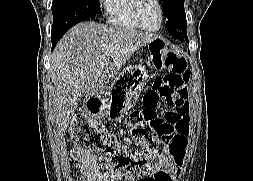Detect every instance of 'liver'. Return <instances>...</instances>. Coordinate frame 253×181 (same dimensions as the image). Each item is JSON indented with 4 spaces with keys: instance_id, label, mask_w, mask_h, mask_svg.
I'll return each instance as SVG.
<instances>
[{
    "instance_id": "6515ba94",
    "label": "liver",
    "mask_w": 253,
    "mask_h": 181,
    "mask_svg": "<svg viewBox=\"0 0 253 181\" xmlns=\"http://www.w3.org/2000/svg\"><path fill=\"white\" fill-rule=\"evenodd\" d=\"M157 37L94 21L72 27L49 57L50 77L56 87L55 119L59 130H66L85 94L109 84L136 50Z\"/></svg>"
}]
</instances>
